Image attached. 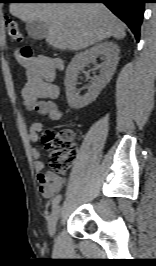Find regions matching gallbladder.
<instances>
[{"mask_svg":"<svg viewBox=\"0 0 156 266\" xmlns=\"http://www.w3.org/2000/svg\"><path fill=\"white\" fill-rule=\"evenodd\" d=\"M28 35L35 40H42L48 34L47 25L43 21H32L26 24Z\"/></svg>","mask_w":156,"mask_h":266,"instance_id":"1","label":"gallbladder"}]
</instances>
